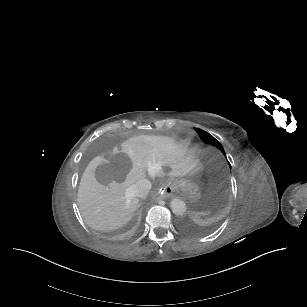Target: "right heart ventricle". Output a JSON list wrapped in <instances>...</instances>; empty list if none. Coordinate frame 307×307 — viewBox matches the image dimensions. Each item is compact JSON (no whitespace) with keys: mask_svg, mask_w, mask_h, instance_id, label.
Returning <instances> with one entry per match:
<instances>
[{"mask_svg":"<svg viewBox=\"0 0 307 307\" xmlns=\"http://www.w3.org/2000/svg\"><path fill=\"white\" fill-rule=\"evenodd\" d=\"M177 146L181 150H187L190 146V141L189 140H181L177 143Z\"/></svg>","mask_w":307,"mask_h":307,"instance_id":"obj_1","label":"right heart ventricle"}]
</instances>
